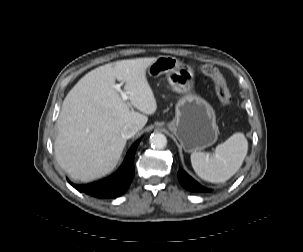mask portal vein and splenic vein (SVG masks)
<instances>
[{"instance_id":"obj_1","label":"portal vein and splenic vein","mask_w":303,"mask_h":252,"mask_svg":"<svg viewBox=\"0 0 303 252\" xmlns=\"http://www.w3.org/2000/svg\"><path fill=\"white\" fill-rule=\"evenodd\" d=\"M114 88H115L118 92H120V94H121V96H122V99H123L124 101L128 100V98H129L128 93L125 92V91H123V90H121V85H120V84L114 85Z\"/></svg>"}]
</instances>
